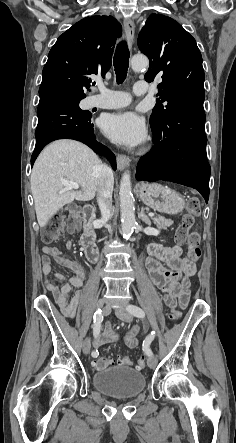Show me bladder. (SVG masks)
<instances>
[{"mask_svg":"<svg viewBox=\"0 0 236 443\" xmlns=\"http://www.w3.org/2000/svg\"><path fill=\"white\" fill-rule=\"evenodd\" d=\"M92 382L100 393L116 399L134 398L146 384L143 373L125 366L100 369L93 374Z\"/></svg>","mask_w":236,"mask_h":443,"instance_id":"31cf9c89","label":"bladder"}]
</instances>
